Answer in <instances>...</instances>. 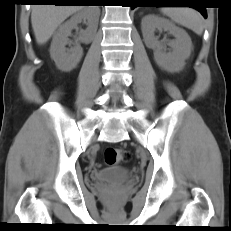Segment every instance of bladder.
<instances>
[{
	"label": "bladder",
	"mask_w": 231,
	"mask_h": 231,
	"mask_svg": "<svg viewBox=\"0 0 231 231\" xmlns=\"http://www.w3.org/2000/svg\"><path fill=\"white\" fill-rule=\"evenodd\" d=\"M132 174L125 167L107 168L95 173L93 181L98 184H118L129 181Z\"/></svg>",
	"instance_id": "31cf9c89"
}]
</instances>
